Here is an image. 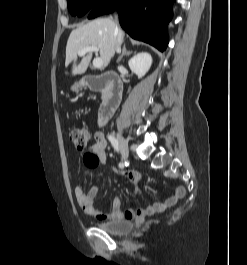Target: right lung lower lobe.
<instances>
[{
    "mask_svg": "<svg viewBox=\"0 0 247 265\" xmlns=\"http://www.w3.org/2000/svg\"><path fill=\"white\" fill-rule=\"evenodd\" d=\"M175 0H106L96 5L88 18L117 10L122 28L134 39L147 42L160 51L168 45L167 25Z\"/></svg>",
    "mask_w": 247,
    "mask_h": 265,
    "instance_id": "1",
    "label": "right lung lower lobe"
}]
</instances>
